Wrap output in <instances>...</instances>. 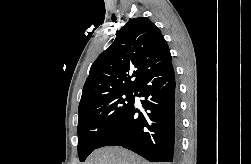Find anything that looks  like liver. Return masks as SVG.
<instances>
[{
    "instance_id": "obj_1",
    "label": "liver",
    "mask_w": 251,
    "mask_h": 164,
    "mask_svg": "<svg viewBox=\"0 0 251 164\" xmlns=\"http://www.w3.org/2000/svg\"><path fill=\"white\" fill-rule=\"evenodd\" d=\"M84 164H149L122 147H103L90 154Z\"/></svg>"
}]
</instances>
